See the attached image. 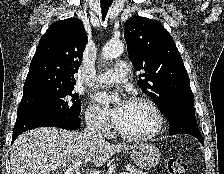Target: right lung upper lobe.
<instances>
[{"label":"right lung upper lobe","mask_w":224,"mask_h":174,"mask_svg":"<svg viewBox=\"0 0 224 174\" xmlns=\"http://www.w3.org/2000/svg\"><path fill=\"white\" fill-rule=\"evenodd\" d=\"M86 40L81 20L75 17L51 24L31 60L23 94L48 88H73Z\"/></svg>","instance_id":"cb5924a9"}]
</instances>
